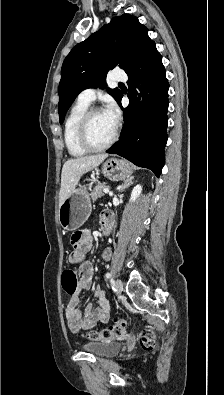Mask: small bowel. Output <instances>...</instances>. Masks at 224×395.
<instances>
[{"label": "small bowel", "instance_id": "obj_1", "mask_svg": "<svg viewBox=\"0 0 224 395\" xmlns=\"http://www.w3.org/2000/svg\"><path fill=\"white\" fill-rule=\"evenodd\" d=\"M71 240L73 250L69 255V261L79 266L80 281L77 290L65 307V318L70 330L72 332H78L89 329L98 322L106 323L110 316V304L104 290L100 286H96L94 296L98 303L97 307H94L93 304H88L83 313L79 309V293L88 290L92 284L93 266L85 258L86 253L92 247V236L88 230H81L73 233ZM109 255L110 252L106 251L104 253V259H107Z\"/></svg>", "mask_w": 224, "mask_h": 395}]
</instances>
